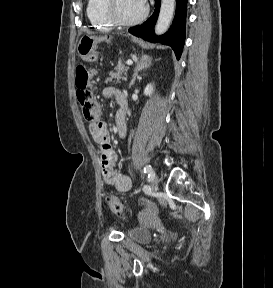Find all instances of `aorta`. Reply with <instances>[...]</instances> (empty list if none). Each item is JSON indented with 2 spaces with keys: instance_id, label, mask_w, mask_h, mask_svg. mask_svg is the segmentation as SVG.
Returning <instances> with one entry per match:
<instances>
[{
  "instance_id": "762f6f07",
  "label": "aorta",
  "mask_w": 273,
  "mask_h": 288,
  "mask_svg": "<svg viewBox=\"0 0 273 288\" xmlns=\"http://www.w3.org/2000/svg\"><path fill=\"white\" fill-rule=\"evenodd\" d=\"M175 7V0H161L160 13L155 25L157 35H161L168 30L175 13Z\"/></svg>"
}]
</instances>
